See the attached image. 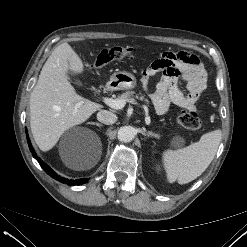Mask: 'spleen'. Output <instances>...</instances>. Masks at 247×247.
Masks as SVG:
<instances>
[{
  "label": "spleen",
  "mask_w": 247,
  "mask_h": 247,
  "mask_svg": "<svg viewBox=\"0 0 247 247\" xmlns=\"http://www.w3.org/2000/svg\"><path fill=\"white\" fill-rule=\"evenodd\" d=\"M221 138L222 132L217 129L185 148L164 151L162 161L168 181L186 184L199 177L214 159Z\"/></svg>",
  "instance_id": "obj_1"
}]
</instances>
